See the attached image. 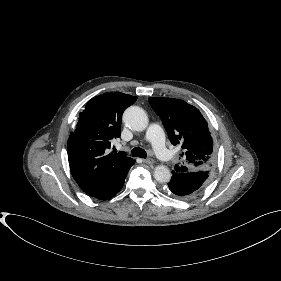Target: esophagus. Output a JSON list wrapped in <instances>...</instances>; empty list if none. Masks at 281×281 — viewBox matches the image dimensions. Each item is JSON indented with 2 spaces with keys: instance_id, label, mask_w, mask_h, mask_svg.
I'll use <instances>...</instances> for the list:
<instances>
[{
  "instance_id": "obj_1",
  "label": "esophagus",
  "mask_w": 281,
  "mask_h": 281,
  "mask_svg": "<svg viewBox=\"0 0 281 281\" xmlns=\"http://www.w3.org/2000/svg\"><path fill=\"white\" fill-rule=\"evenodd\" d=\"M143 162L150 165V164L154 163V160L151 158H146V159H143Z\"/></svg>"
}]
</instances>
